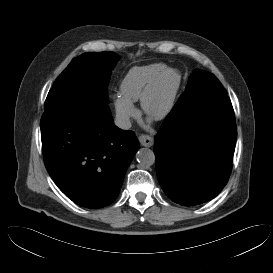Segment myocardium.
I'll use <instances>...</instances> for the list:
<instances>
[{"label":"myocardium","mask_w":273,"mask_h":273,"mask_svg":"<svg viewBox=\"0 0 273 273\" xmlns=\"http://www.w3.org/2000/svg\"><path fill=\"white\" fill-rule=\"evenodd\" d=\"M169 75L174 77V81L171 86L170 98L157 114H153L149 108V102L153 98L155 92L157 91L163 79H165ZM180 84H181V78L180 76L176 74L175 71L164 70L160 72L155 77V79L149 84V86L144 90L141 96L140 103H141V108L145 116L151 120H161L165 118L166 116H168L169 113L174 108Z\"/></svg>","instance_id":"myocardium-1"}]
</instances>
